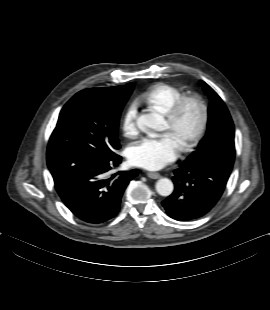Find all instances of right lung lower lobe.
<instances>
[{"label": "right lung lower lobe", "instance_id": "obj_1", "mask_svg": "<svg viewBox=\"0 0 270 310\" xmlns=\"http://www.w3.org/2000/svg\"><path fill=\"white\" fill-rule=\"evenodd\" d=\"M121 162L116 153L109 156L85 151H47V164L63 203L80 220L100 224L115 217L128 183L137 170L108 172Z\"/></svg>", "mask_w": 270, "mask_h": 310}]
</instances>
